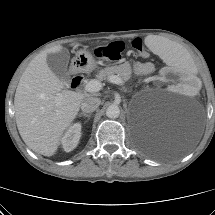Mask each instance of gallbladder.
<instances>
[{
	"mask_svg": "<svg viewBox=\"0 0 215 215\" xmlns=\"http://www.w3.org/2000/svg\"><path fill=\"white\" fill-rule=\"evenodd\" d=\"M69 52L67 49H61L56 53L47 54V64L51 71L64 83L68 84L71 76L68 71Z\"/></svg>",
	"mask_w": 215,
	"mask_h": 215,
	"instance_id": "gallbladder-1",
	"label": "gallbladder"
}]
</instances>
